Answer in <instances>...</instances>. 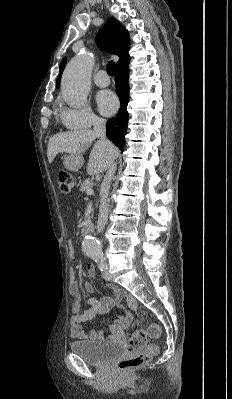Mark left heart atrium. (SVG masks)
<instances>
[{"label":"left heart atrium","mask_w":232,"mask_h":399,"mask_svg":"<svg viewBox=\"0 0 232 399\" xmlns=\"http://www.w3.org/2000/svg\"><path fill=\"white\" fill-rule=\"evenodd\" d=\"M99 110L106 116H111L118 109V102L111 92H102L97 96Z\"/></svg>","instance_id":"obj_1"}]
</instances>
